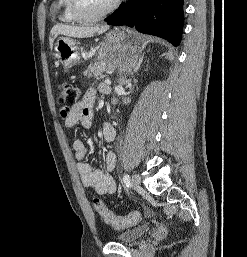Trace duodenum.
Listing matches in <instances>:
<instances>
[{
  "instance_id": "1",
  "label": "duodenum",
  "mask_w": 247,
  "mask_h": 257,
  "mask_svg": "<svg viewBox=\"0 0 247 257\" xmlns=\"http://www.w3.org/2000/svg\"><path fill=\"white\" fill-rule=\"evenodd\" d=\"M102 91H103V93H105V94H109L110 91H111V89H110V87H109L107 84H105L104 87H103V89H102Z\"/></svg>"
}]
</instances>
